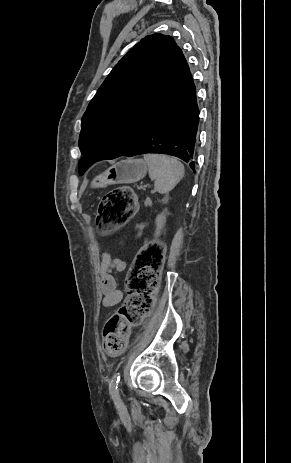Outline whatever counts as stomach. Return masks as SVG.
Segmentation results:
<instances>
[{
	"mask_svg": "<svg viewBox=\"0 0 291 463\" xmlns=\"http://www.w3.org/2000/svg\"><path fill=\"white\" fill-rule=\"evenodd\" d=\"M147 165L141 159L121 161L109 167L92 181L93 188H104L113 184L135 183L145 177Z\"/></svg>",
	"mask_w": 291,
	"mask_h": 463,
	"instance_id": "obj_1",
	"label": "stomach"
}]
</instances>
